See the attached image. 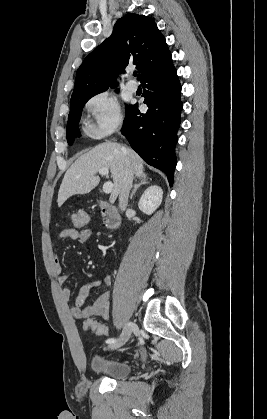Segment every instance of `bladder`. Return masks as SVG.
I'll use <instances>...</instances> for the list:
<instances>
[{"mask_svg": "<svg viewBox=\"0 0 267 419\" xmlns=\"http://www.w3.org/2000/svg\"><path fill=\"white\" fill-rule=\"evenodd\" d=\"M90 366L95 374L116 380L128 376L132 371L131 364L126 361L106 359L101 356H95Z\"/></svg>", "mask_w": 267, "mask_h": 419, "instance_id": "31cf9c89", "label": "bladder"}]
</instances>
